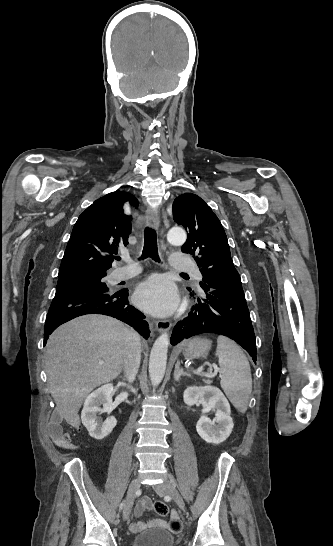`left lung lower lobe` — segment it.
I'll use <instances>...</instances> for the list:
<instances>
[{"label": "left lung lower lobe", "mask_w": 333, "mask_h": 546, "mask_svg": "<svg viewBox=\"0 0 333 546\" xmlns=\"http://www.w3.org/2000/svg\"><path fill=\"white\" fill-rule=\"evenodd\" d=\"M197 303L175 326L171 344L203 333L227 336L241 345L256 362V340L243 289L202 288Z\"/></svg>", "instance_id": "left-lung-lower-lobe-1"}]
</instances>
